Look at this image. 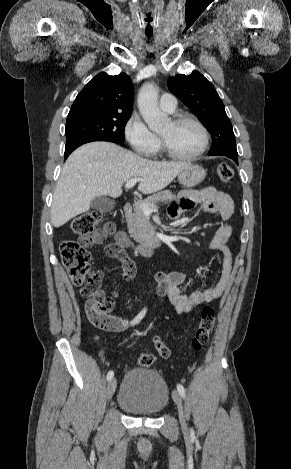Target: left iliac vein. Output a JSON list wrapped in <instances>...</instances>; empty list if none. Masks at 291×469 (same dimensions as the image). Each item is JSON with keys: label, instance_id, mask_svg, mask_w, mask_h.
Instances as JSON below:
<instances>
[{"label": "left iliac vein", "instance_id": "4c4485c4", "mask_svg": "<svg viewBox=\"0 0 291 469\" xmlns=\"http://www.w3.org/2000/svg\"><path fill=\"white\" fill-rule=\"evenodd\" d=\"M173 400L177 405L179 420L183 428L186 427V415L184 412L183 402L180 394L177 391H173Z\"/></svg>", "mask_w": 291, "mask_h": 469}]
</instances>
